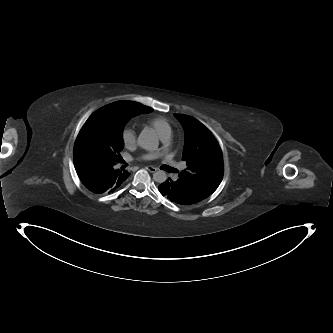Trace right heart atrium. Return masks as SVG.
<instances>
[{"mask_svg":"<svg viewBox=\"0 0 333 333\" xmlns=\"http://www.w3.org/2000/svg\"><path fill=\"white\" fill-rule=\"evenodd\" d=\"M122 143L126 148H132L136 143V131L128 126L121 132Z\"/></svg>","mask_w":333,"mask_h":333,"instance_id":"d8ad5b80","label":"right heart atrium"}]
</instances>
